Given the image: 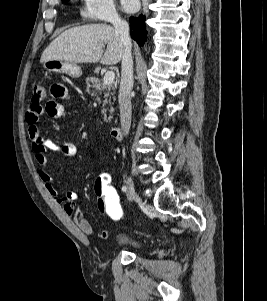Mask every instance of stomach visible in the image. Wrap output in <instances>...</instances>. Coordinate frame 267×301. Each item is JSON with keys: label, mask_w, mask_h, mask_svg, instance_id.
Masks as SVG:
<instances>
[{"label": "stomach", "mask_w": 267, "mask_h": 301, "mask_svg": "<svg viewBox=\"0 0 267 301\" xmlns=\"http://www.w3.org/2000/svg\"><path fill=\"white\" fill-rule=\"evenodd\" d=\"M43 67L49 72L67 74L72 78H79L82 75V70L79 65L63 60L45 61Z\"/></svg>", "instance_id": "1"}]
</instances>
